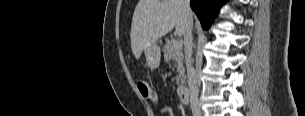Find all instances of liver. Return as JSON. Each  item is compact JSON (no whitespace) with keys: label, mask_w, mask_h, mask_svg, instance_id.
I'll list each match as a JSON object with an SVG mask.
<instances>
[{"label":"liver","mask_w":305,"mask_h":116,"mask_svg":"<svg viewBox=\"0 0 305 116\" xmlns=\"http://www.w3.org/2000/svg\"><path fill=\"white\" fill-rule=\"evenodd\" d=\"M187 17L192 20L193 14L185 12L183 0H139L131 25V48L135 58L139 59L146 47L174 28L183 36Z\"/></svg>","instance_id":"obj_1"}]
</instances>
